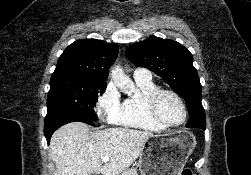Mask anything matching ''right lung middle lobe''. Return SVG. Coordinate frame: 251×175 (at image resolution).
<instances>
[{
	"instance_id": "1",
	"label": "right lung middle lobe",
	"mask_w": 251,
	"mask_h": 175,
	"mask_svg": "<svg viewBox=\"0 0 251 175\" xmlns=\"http://www.w3.org/2000/svg\"><path fill=\"white\" fill-rule=\"evenodd\" d=\"M105 88L106 86L51 79L46 119L72 114L83 116L89 121H95L97 116L94 106L98 100V93L102 95Z\"/></svg>"
}]
</instances>
